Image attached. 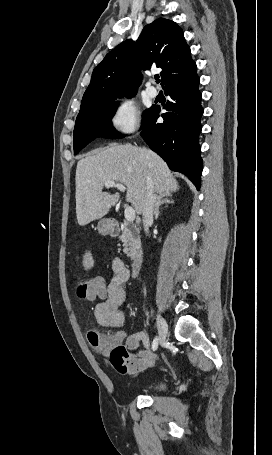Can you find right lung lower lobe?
Instances as JSON below:
<instances>
[{"label":"right lung lower lobe","instance_id":"right-lung-lower-lobe-1","mask_svg":"<svg viewBox=\"0 0 272 455\" xmlns=\"http://www.w3.org/2000/svg\"><path fill=\"white\" fill-rule=\"evenodd\" d=\"M200 78L196 70L165 86V95L171 101L163 107V123H157L160 108L153 107L142 125L141 136L150 148L157 152L169 168L185 174L199 190L202 159L198 136L201 132L200 118L202 95L198 90Z\"/></svg>","mask_w":272,"mask_h":455}]
</instances>
